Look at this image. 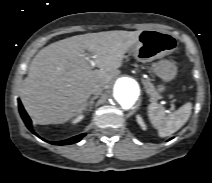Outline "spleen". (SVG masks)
Instances as JSON below:
<instances>
[{
    "instance_id": "obj_1",
    "label": "spleen",
    "mask_w": 212,
    "mask_h": 183,
    "mask_svg": "<svg viewBox=\"0 0 212 183\" xmlns=\"http://www.w3.org/2000/svg\"><path fill=\"white\" fill-rule=\"evenodd\" d=\"M192 103L187 102L172 114L166 116L165 108L152 102L148 106V116L151 124L158 130L160 137L169 136L178 131L189 119Z\"/></svg>"
}]
</instances>
